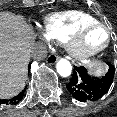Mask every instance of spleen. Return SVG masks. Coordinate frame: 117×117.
Listing matches in <instances>:
<instances>
[{
    "instance_id": "1",
    "label": "spleen",
    "mask_w": 117,
    "mask_h": 117,
    "mask_svg": "<svg viewBox=\"0 0 117 117\" xmlns=\"http://www.w3.org/2000/svg\"><path fill=\"white\" fill-rule=\"evenodd\" d=\"M90 67H94L95 68V74L97 76H101L104 72H105V66L103 63H99V62H91L89 64Z\"/></svg>"
}]
</instances>
